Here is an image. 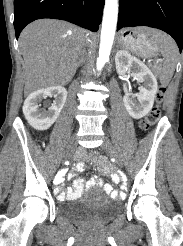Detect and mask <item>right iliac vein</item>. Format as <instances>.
Segmentation results:
<instances>
[{"label":"right iliac vein","mask_w":183,"mask_h":246,"mask_svg":"<svg viewBox=\"0 0 183 246\" xmlns=\"http://www.w3.org/2000/svg\"><path fill=\"white\" fill-rule=\"evenodd\" d=\"M73 146H74V138L71 141L70 148H72Z\"/></svg>","instance_id":"63e3f726"}]
</instances>
